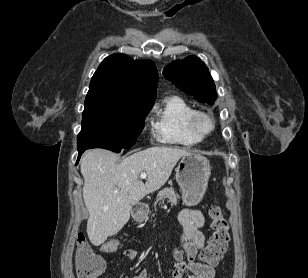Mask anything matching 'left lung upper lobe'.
<instances>
[{"label":"left lung upper lobe","instance_id":"5c2ea615","mask_svg":"<svg viewBox=\"0 0 308 278\" xmlns=\"http://www.w3.org/2000/svg\"><path fill=\"white\" fill-rule=\"evenodd\" d=\"M163 75L198 101L212 105L217 98L215 84L208 68L196 56L172 63L164 70Z\"/></svg>","mask_w":308,"mask_h":278}]
</instances>
